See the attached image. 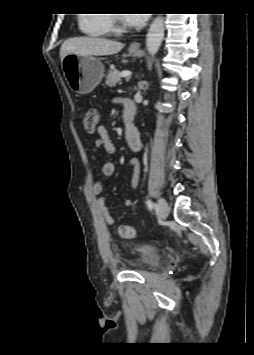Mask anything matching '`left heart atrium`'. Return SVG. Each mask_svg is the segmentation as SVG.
<instances>
[{"mask_svg": "<svg viewBox=\"0 0 254 355\" xmlns=\"http://www.w3.org/2000/svg\"><path fill=\"white\" fill-rule=\"evenodd\" d=\"M148 14L143 13H128L124 16L125 22L133 27H140L147 21Z\"/></svg>", "mask_w": 254, "mask_h": 355, "instance_id": "1", "label": "left heart atrium"}]
</instances>
